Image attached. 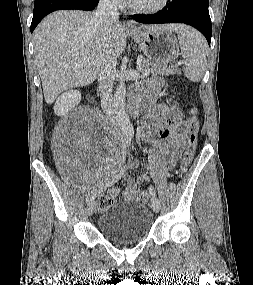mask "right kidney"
Listing matches in <instances>:
<instances>
[{"label": "right kidney", "instance_id": "obj_1", "mask_svg": "<svg viewBox=\"0 0 253 285\" xmlns=\"http://www.w3.org/2000/svg\"><path fill=\"white\" fill-rule=\"evenodd\" d=\"M81 100V94L76 90L66 91L61 94L54 106V112L56 115L63 116L72 110Z\"/></svg>", "mask_w": 253, "mask_h": 285}]
</instances>
